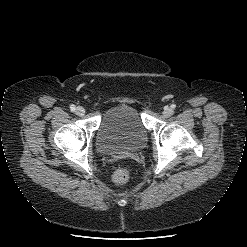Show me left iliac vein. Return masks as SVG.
Listing matches in <instances>:
<instances>
[{
	"instance_id": "4c4485c4",
	"label": "left iliac vein",
	"mask_w": 247,
	"mask_h": 247,
	"mask_svg": "<svg viewBox=\"0 0 247 247\" xmlns=\"http://www.w3.org/2000/svg\"><path fill=\"white\" fill-rule=\"evenodd\" d=\"M165 117H169L173 114V109L170 107H166L162 113Z\"/></svg>"
}]
</instances>
